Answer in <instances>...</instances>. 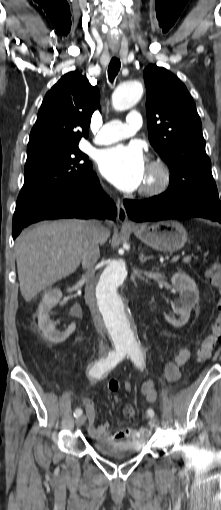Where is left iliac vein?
Segmentation results:
<instances>
[{"label":"left iliac vein","mask_w":221,"mask_h":510,"mask_svg":"<svg viewBox=\"0 0 221 510\" xmlns=\"http://www.w3.org/2000/svg\"><path fill=\"white\" fill-rule=\"evenodd\" d=\"M149 424H150V427L155 430L158 429V427H159V421L156 418L151 417L149 420Z\"/></svg>","instance_id":"4c4485c4"}]
</instances>
